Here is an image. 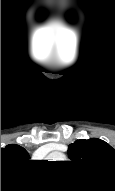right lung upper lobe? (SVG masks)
<instances>
[{
    "label": "right lung upper lobe",
    "instance_id": "1",
    "mask_svg": "<svg viewBox=\"0 0 115 191\" xmlns=\"http://www.w3.org/2000/svg\"><path fill=\"white\" fill-rule=\"evenodd\" d=\"M28 161V152L19 145L9 144L5 148H1V171L22 167Z\"/></svg>",
    "mask_w": 115,
    "mask_h": 191
}]
</instances>
